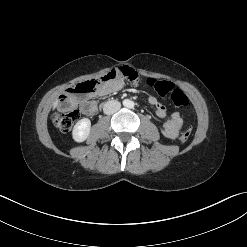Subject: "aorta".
I'll return each instance as SVG.
<instances>
[{"mask_svg": "<svg viewBox=\"0 0 247 247\" xmlns=\"http://www.w3.org/2000/svg\"><path fill=\"white\" fill-rule=\"evenodd\" d=\"M123 104L127 108H133L134 107V102L131 100H124Z\"/></svg>", "mask_w": 247, "mask_h": 247, "instance_id": "obj_1", "label": "aorta"}]
</instances>
